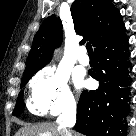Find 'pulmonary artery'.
I'll list each match as a JSON object with an SVG mask.
<instances>
[{"label": "pulmonary artery", "mask_w": 136, "mask_h": 136, "mask_svg": "<svg viewBox=\"0 0 136 136\" xmlns=\"http://www.w3.org/2000/svg\"><path fill=\"white\" fill-rule=\"evenodd\" d=\"M78 61L84 66L89 65L90 60L84 47H81L79 50Z\"/></svg>", "instance_id": "obj_1"}]
</instances>
